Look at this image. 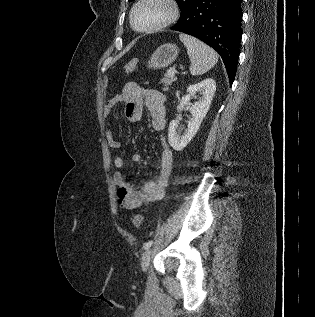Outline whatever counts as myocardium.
<instances>
[{
	"instance_id": "f54148a6",
	"label": "myocardium",
	"mask_w": 315,
	"mask_h": 317,
	"mask_svg": "<svg viewBox=\"0 0 315 317\" xmlns=\"http://www.w3.org/2000/svg\"><path fill=\"white\" fill-rule=\"evenodd\" d=\"M151 1H156L164 4L167 8V16L159 23L156 25H153L151 27L147 28H138L135 23H134V14L137 10V8L142 5L143 3L146 2H151ZM179 16V7L176 2V0H138L134 6L132 7L131 13H130V24L131 27L139 33H150V32H155L158 30H161L163 28H166L170 26L172 23H174Z\"/></svg>"
}]
</instances>
